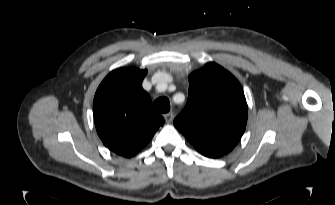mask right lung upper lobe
Masks as SVG:
<instances>
[{
	"label": "right lung upper lobe",
	"mask_w": 335,
	"mask_h": 205,
	"mask_svg": "<svg viewBox=\"0 0 335 205\" xmlns=\"http://www.w3.org/2000/svg\"><path fill=\"white\" fill-rule=\"evenodd\" d=\"M147 70L118 68L98 87L93 113L97 133L111 151L129 158L146 146L163 117L154 111L142 88Z\"/></svg>",
	"instance_id": "obj_1"
}]
</instances>
